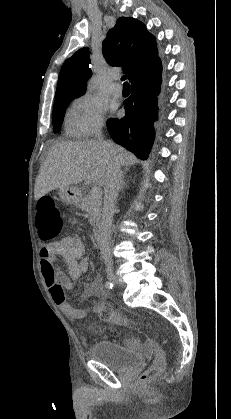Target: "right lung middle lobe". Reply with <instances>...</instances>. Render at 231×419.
<instances>
[{"label":"right lung middle lobe","instance_id":"1","mask_svg":"<svg viewBox=\"0 0 231 419\" xmlns=\"http://www.w3.org/2000/svg\"><path fill=\"white\" fill-rule=\"evenodd\" d=\"M72 99L74 98H68V99L54 102L53 119H52L54 133L60 131L66 108Z\"/></svg>","mask_w":231,"mask_h":419}]
</instances>
